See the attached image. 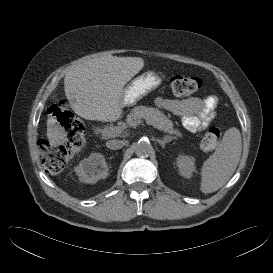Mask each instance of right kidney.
I'll list each match as a JSON object with an SVG mask.
<instances>
[{
  "label": "right kidney",
  "instance_id": "ca27d5eb",
  "mask_svg": "<svg viewBox=\"0 0 273 273\" xmlns=\"http://www.w3.org/2000/svg\"><path fill=\"white\" fill-rule=\"evenodd\" d=\"M108 170L104 156L94 153L79 164L78 175L82 182L93 184L101 178H106Z\"/></svg>",
  "mask_w": 273,
  "mask_h": 273
}]
</instances>
